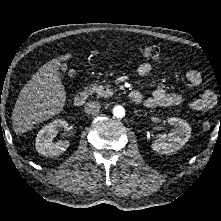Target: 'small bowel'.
<instances>
[{
    "label": "small bowel",
    "mask_w": 221,
    "mask_h": 221,
    "mask_svg": "<svg viewBox=\"0 0 221 221\" xmlns=\"http://www.w3.org/2000/svg\"><path fill=\"white\" fill-rule=\"evenodd\" d=\"M152 71V65L148 62L141 63L138 66L137 72L141 77H145ZM185 78L188 86L191 88L197 87L202 82L201 74L196 70H189L185 73ZM141 99L138 103L149 108L155 107H171L177 106L185 101L183 95L178 93L167 92L164 88L155 87L149 96H144L141 92ZM215 95L211 91H205L200 96L189 101V107L194 111H205L215 104Z\"/></svg>",
    "instance_id": "1"
}]
</instances>
